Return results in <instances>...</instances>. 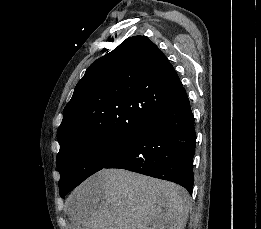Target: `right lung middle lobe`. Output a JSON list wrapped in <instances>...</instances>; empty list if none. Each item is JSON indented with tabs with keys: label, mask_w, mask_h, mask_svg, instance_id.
Returning a JSON list of instances; mask_svg holds the SVG:
<instances>
[{
	"label": "right lung middle lobe",
	"mask_w": 261,
	"mask_h": 229,
	"mask_svg": "<svg viewBox=\"0 0 261 229\" xmlns=\"http://www.w3.org/2000/svg\"><path fill=\"white\" fill-rule=\"evenodd\" d=\"M131 139L81 137L60 146L57 168L61 197L126 150Z\"/></svg>",
	"instance_id": "right-lung-middle-lobe-1"
}]
</instances>
